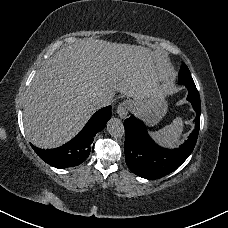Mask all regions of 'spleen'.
Masks as SVG:
<instances>
[{
	"label": "spleen",
	"instance_id": "1",
	"mask_svg": "<svg viewBox=\"0 0 228 228\" xmlns=\"http://www.w3.org/2000/svg\"><path fill=\"white\" fill-rule=\"evenodd\" d=\"M182 132V120L175 119L170 125H166L161 130L153 133L154 137L167 145H172L177 142L178 137Z\"/></svg>",
	"mask_w": 228,
	"mask_h": 228
}]
</instances>
